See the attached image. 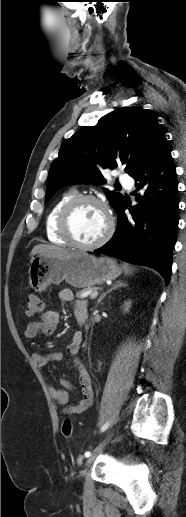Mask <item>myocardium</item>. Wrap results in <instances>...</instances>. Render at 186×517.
<instances>
[{"mask_svg": "<svg viewBox=\"0 0 186 517\" xmlns=\"http://www.w3.org/2000/svg\"><path fill=\"white\" fill-rule=\"evenodd\" d=\"M95 203L99 205L104 211L107 217V227L103 233V235L96 241L92 243H81L79 242L73 235L71 221L72 217L77 210V208L83 203ZM59 233L60 235L73 247L82 250H93L104 245L113 235L115 223L112 213L108 207V205L100 198L94 195H76L72 198L62 209L59 219H58Z\"/></svg>", "mask_w": 186, "mask_h": 517, "instance_id": "myocardium-1", "label": "myocardium"}]
</instances>
